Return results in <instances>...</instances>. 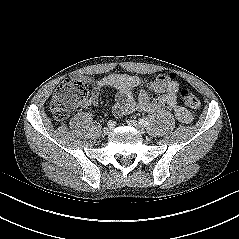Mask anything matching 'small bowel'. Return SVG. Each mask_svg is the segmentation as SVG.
<instances>
[{"instance_id":"obj_1","label":"small bowel","mask_w":239,"mask_h":239,"mask_svg":"<svg viewBox=\"0 0 239 239\" xmlns=\"http://www.w3.org/2000/svg\"><path fill=\"white\" fill-rule=\"evenodd\" d=\"M85 80L91 86V95L84 106L96 105L103 87H111L116 91L113 113L116 116L130 114L136 111L153 113L161 108L170 109L182 123H190L192 114L181 106L177 99L179 83L171 79L169 74L161 73L155 80L145 82L139 76L125 74H110L101 78L87 77ZM142 87L137 97L133 90ZM157 94L153 99L148 92Z\"/></svg>"}]
</instances>
